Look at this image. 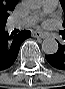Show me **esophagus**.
<instances>
[{
  "label": "esophagus",
  "mask_w": 65,
  "mask_h": 89,
  "mask_svg": "<svg viewBox=\"0 0 65 89\" xmlns=\"http://www.w3.org/2000/svg\"><path fill=\"white\" fill-rule=\"evenodd\" d=\"M32 36L35 38H42V39L47 37V35L45 33L40 32V31H33Z\"/></svg>",
  "instance_id": "34e87169"
}]
</instances>
